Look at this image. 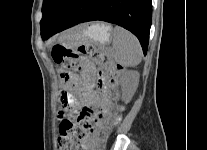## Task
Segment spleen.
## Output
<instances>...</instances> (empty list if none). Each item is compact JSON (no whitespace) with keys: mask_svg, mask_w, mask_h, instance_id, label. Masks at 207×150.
<instances>
[{"mask_svg":"<svg viewBox=\"0 0 207 150\" xmlns=\"http://www.w3.org/2000/svg\"><path fill=\"white\" fill-rule=\"evenodd\" d=\"M115 61L124 67H135L142 59V49L138 39L120 26L113 30Z\"/></svg>","mask_w":207,"mask_h":150,"instance_id":"3e777b00","label":"spleen"}]
</instances>
